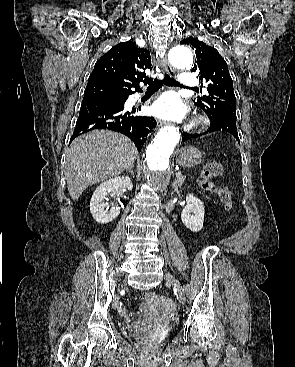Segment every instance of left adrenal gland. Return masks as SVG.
<instances>
[{
	"label": "left adrenal gland",
	"instance_id": "a2214340",
	"mask_svg": "<svg viewBox=\"0 0 295 367\" xmlns=\"http://www.w3.org/2000/svg\"><path fill=\"white\" fill-rule=\"evenodd\" d=\"M172 187H173L175 190H178V185H177L176 181H174V182L172 183Z\"/></svg>",
	"mask_w": 295,
	"mask_h": 367
}]
</instances>
